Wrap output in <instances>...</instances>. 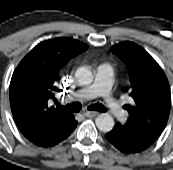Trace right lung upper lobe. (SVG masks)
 I'll use <instances>...</instances> for the list:
<instances>
[{
  "mask_svg": "<svg viewBox=\"0 0 173 170\" xmlns=\"http://www.w3.org/2000/svg\"><path fill=\"white\" fill-rule=\"evenodd\" d=\"M88 49L71 38H55L35 46L15 69L9 88L14 120L27 138L68 122L72 114L51 105L58 91L59 73L75 56Z\"/></svg>",
  "mask_w": 173,
  "mask_h": 170,
  "instance_id": "1",
  "label": "right lung upper lobe"
}]
</instances>
